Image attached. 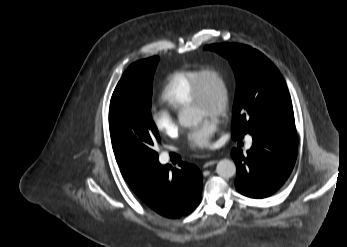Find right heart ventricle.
<instances>
[{
    "label": "right heart ventricle",
    "mask_w": 347,
    "mask_h": 247,
    "mask_svg": "<svg viewBox=\"0 0 347 247\" xmlns=\"http://www.w3.org/2000/svg\"><path fill=\"white\" fill-rule=\"evenodd\" d=\"M199 71V68L180 69L168 75L160 92L161 100L172 109L188 106Z\"/></svg>",
    "instance_id": "1"
}]
</instances>
